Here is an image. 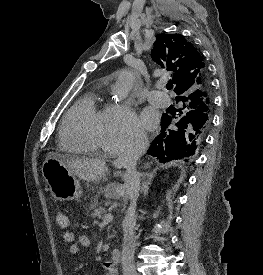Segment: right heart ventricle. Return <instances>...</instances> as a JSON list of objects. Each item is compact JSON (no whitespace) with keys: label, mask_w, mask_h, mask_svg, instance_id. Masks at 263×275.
<instances>
[{"label":"right heart ventricle","mask_w":263,"mask_h":275,"mask_svg":"<svg viewBox=\"0 0 263 275\" xmlns=\"http://www.w3.org/2000/svg\"><path fill=\"white\" fill-rule=\"evenodd\" d=\"M108 106H100L96 93L80 98L67 111L60 128V147L73 154H94L104 149Z\"/></svg>","instance_id":"right-heart-ventricle-1"}]
</instances>
